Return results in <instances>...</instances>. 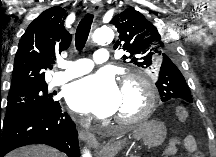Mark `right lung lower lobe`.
<instances>
[{
	"mask_svg": "<svg viewBox=\"0 0 216 157\" xmlns=\"http://www.w3.org/2000/svg\"><path fill=\"white\" fill-rule=\"evenodd\" d=\"M40 143L80 157L75 124L62 113L59 102L51 109L26 114L0 124V157L29 144Z\"/></svg>",
	"mask_w": 216,
	"mask_h": 157,
	"instance_id": "right-lung-lower-lobe-1",
	"label": "right lung lower lobe"
}]
</instances>
